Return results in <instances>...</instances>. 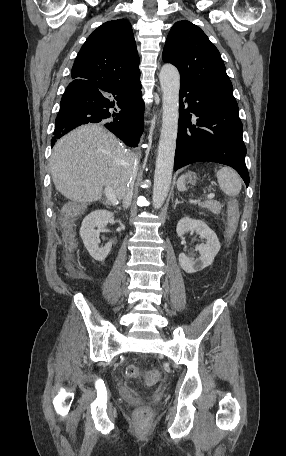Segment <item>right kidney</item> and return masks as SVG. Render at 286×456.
I'll use <instances>...</instances> for the list:
<instances>
[{
	"label": "right kidney",
	"mask_w": 286,
	"mask_h": 456,
	"mask_svg": "<svg viewBox=\"0 0 286 456\" xmlns=\"http://www.w3.org/2000/svg\"><path fill=\"white\" fill-rule=\"evenodd\" d=\"M112 217L113 213L108 210H95L82 221L80 236L90 256L96 261H104L111 251L112 242L99 247V230L105 228Z\"/></svg>",
	"instance_id": "right-kidney-1"
}]
</instances>
